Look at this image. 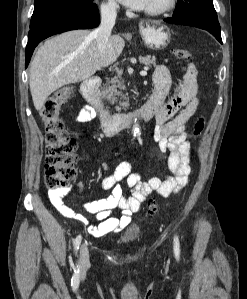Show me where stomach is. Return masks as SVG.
I'll return each instance as SVG.
<instances>
[{
  "label": "stomach",
  "instance_id": "obj_1",
  "mask_svg": "<svg viewBox=\"0 0 247 299\" xmlns=\"http://www.w3.org/2000/svg\"><path fill=\"white\" fill-rule=\"evenodd\" d=\"M140 34L144 44L153 50L166 48L171 40L170 29L157 21L141 23Z\"/></svg>",
  "mask_w": 247,
  "mask_h": 299
}]
</instances>
